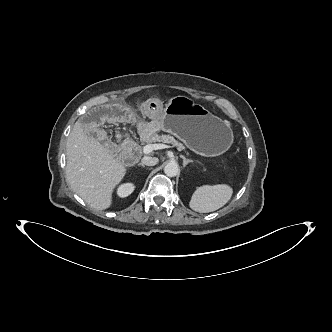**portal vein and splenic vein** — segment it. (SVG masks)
<instances>
[{
  "label": "portal vein and splenic vein",
  "instance_id": "18ae733b",
  "mask_svg": "<svg viewBox=\"0 0 332 332\" xmlns=\"http://www.w3.org/2000/svg\"><path fill=\"white\" fill-rule=\"evenodd\" d=\"M164 148H167V146L165 144H148V145H145L143 147V152L145 154H150L151 152H153V150H158V149H164Z\"/></svg>",
  "mask_w": 332,
  "mask_h": 332
}]
</instances>
